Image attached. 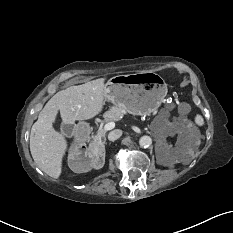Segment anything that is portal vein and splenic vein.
Returning <instances> with one entry per match:
<instances>
[{
    "label": "portal vein and splenic vein",
    "mask_w": 233,
    "mask_h": 233,
    "mask_svg": "<svg viewBox=\"0 0 233 233\" xmlns=\"http://www.w3.org/2000/svg\"><path fill=\"white\" fill-rule=\"evenodd\" d=\"M115 127V123L112 121V122H108L104 125L103 129L105 131H108V130H112L113 128Z\"/></svg>",
    "instance_id": "obj_1"
}]
</instances>
